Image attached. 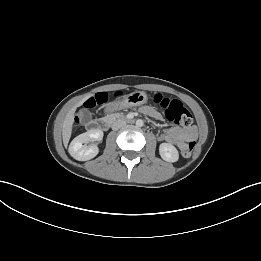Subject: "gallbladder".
Masks as SVG:
<instances>
[{
	"instance_id": "gallbladder-1",
	"label": "gallbladder",
	"mask_w": 261,
	"mask_h": 261,
	"mask_svg": "<svg viewBox=\"0 0 261 261\" xmlns=\"http://www.w3.org/2000/svg\"><path fill=\"white\" fill-rule=\"evenodd\" d=\"M79 117H80L83 124H87L91 120V114L86 109L80 110Z\"/></svg>"
}]
</instances>
